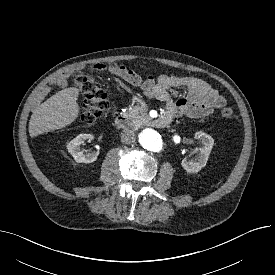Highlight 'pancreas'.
Segmentation results:
<instances>
[{
  "label": "pancreas",
  "mask_w": 275,
  "mask_h": 275,
  "mask_svg": "<svg viewBox=\"0 0 275 275\" xmlns=\"http://www.w3.org/2000/svg\"><path fill=\"white\" fill-rule=\"evenodd\" d=\"M147 108H143L140 106H134L129 108L124 115L133 120L134 123L140 124L147 119Z\"/></svg>",
  "instance_id": "pancreas-1"
}]
</instances>
